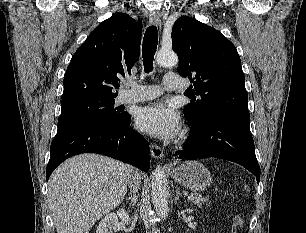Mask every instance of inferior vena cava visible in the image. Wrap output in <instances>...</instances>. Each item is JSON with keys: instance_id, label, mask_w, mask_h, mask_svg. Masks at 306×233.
I'll return each mask as SVG.
<instances>
[{"instance_id": "inferior-vena-cava-1", "label": "inferior vena cava", "mask_w": 306, "mask_h": 233, "mask_svg": "<svg viewBox=\"0 0 306 233\" xmlns=\"http://www.w3.org/2000/svg\"><path fill=\"white\" fill-rule=\"evenodd\" d=\"M140 185V176L138 173H134L132 175V179H131V182H130V190L131 192H133V194L138 191V187Z\"/></svg>"}]
</instances>
